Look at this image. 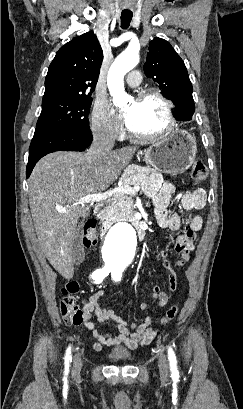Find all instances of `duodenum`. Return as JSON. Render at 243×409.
Returning a JSON list of instances; mask_svg holds the SVG:
<instances>
[{
	"label": "duodenum",
	"instance_id": "1",
	"mask_svg": "<svg viewBox=\"0 0 243 409\" xmlns=\"http://www.w3.org/2000/svg\"><path fill=\"white\" fill-rule=\"evenodd\" d=\"M111 205V201H102L98 203L94 209V214L97 218L101 219L100 234L103 236L107 233L109 228L113 225L114 220L106 216V212ZM133 225L137 231L140 240L145 238V227L140 221H133Z\"/></svg>",
	"mask_w": 243,
	"mask_h": 409
}]
</instances>
